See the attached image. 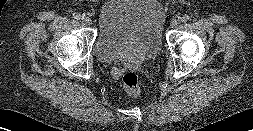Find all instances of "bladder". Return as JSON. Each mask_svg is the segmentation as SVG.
Returning <instances> with one entry per match:
<instances>
[{"label": "bladder", "mask_w": 253, "mask_h": 131, "mask_svg": "<svg viewBox=\"0 0 253 131\" xmlns=\"http://www.w3.org/2000/svg\"><path fill=\"white\" fill-rule=\"evenodd\" d=\"M94 51L104 63L155 57L163 47L159 0H106L97 9Z\"/></svg>", "instance_id": "bladder-1"}]
</instances>
